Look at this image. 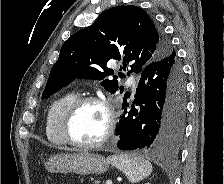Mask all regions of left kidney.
Here are the masks:
<instances>
[{"instance_id": "left-kidney-1", "label": "left kidney", "mask_w": 224, "mask_h": 184, "mask_svg": "<svg viewBox=\"0 0 224 184\" xmlns=\"http://www.w3.org/2000/svg\"><path fill=\"white\" fill-rule=\"evenodd\" d=\"M144 184H151V183H149V182H146V183H144Z\"/></svg>"}]
</instances>
